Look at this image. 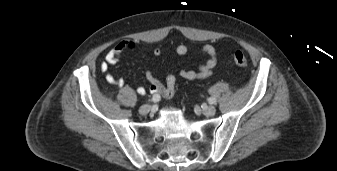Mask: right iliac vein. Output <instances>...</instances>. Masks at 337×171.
I'll return each mask as SVG.
<instances>
[{
  "mask_svg": "<svg viewBox=\"0 0 337 171\" xmlns=\"http://www.w3.org/2000/svg\"><path fill=\"white\" fill-rule=\"evenodd\" d=\"M151 106L149 104L142 105L139 109L141 115H146L150 112Z\"/></svg>",
  "mask_w": 337,
  "mask_h": 171,
  "instance_id": "1",
  "label": "right iliac vein"
}]
</instances>
